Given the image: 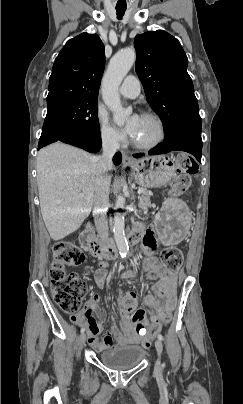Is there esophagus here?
<instances>
[{
  "label": "esophagus",
  "mask_w": 243,
  "mask_h": 404,
  "mask_svg": "<svg viewBox=\"0 0 243 404\" xmlns=\"http://www.w3.org/2000/svg\"><path fill=\"white\" fill-rule=\"evenodd\" d=\"M133 162V160L129 157V155L124 152L123 153V165H128L131 164Z\"/></svg>",
  "instance_id": "obj_1"
}]
</instances>
